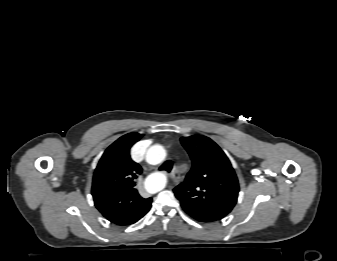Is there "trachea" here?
Returning a JSON list of instances; mask_svg holds the SVG:
<instances>
[{
	"label": "trachea",
	"mask_w": 337,
	"mask_h": 261,
	"mask_svg": "<svg viewBox=\"0 0 337 261\" xmlns=\"http://www.w3.org/2000/svg\"><path fill=\"white\" fill-rule=\"evenodd\" d=\"M159 169L170 172L172 169V163L170 161H166Z\"/></svg>",
	"instance_id": "3493384b"
}]
</instances>
